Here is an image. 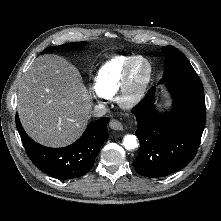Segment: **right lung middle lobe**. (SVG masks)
Returning a JSON list of instances; mask_svg holds the SVG:
<instances>
[{
	"mask_svg": "<svg viewBox=\"0 0 221 221\" xmlns=\"http://www.w3.org/2000/svg\"><path fill=\"white\" fill-rule=\"evenodd\" d=\"M85 44H86V42L67 43V44H63V45H60V46L49 47V48L45 49L44 52L53 51V50L58 49V48L79 49V48H82L83 46H85Z\"/></svg>",
	"mask_w": 221,
	"mask_h": 221,
	"instance_id": "dd1d6c3e",
	"label": "right lung middle lobe"
}]
</instances>
